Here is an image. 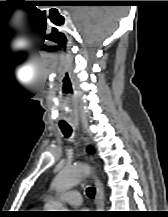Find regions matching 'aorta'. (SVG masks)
I'll return each mask as SVG.
<instances>
[{"instance_id": "obj_1", "label": "aorta", "mask_w": 168, "mask_h": 217, "mask_svg": "<svg viewBox=\"0 0 168 217\" xmlns=\"http://www.w3.org/2000/svg\"><path fill=\"white\" fill-rule=\"evenodd\" d=\"M90 171V167L86 164H76L64 167L55 177L52 187L57 193L69 190L88 176ZM47 209H50L48 211H68L58 201H55L51 205L47 206Z\"/></svg>"}]
</instances>
